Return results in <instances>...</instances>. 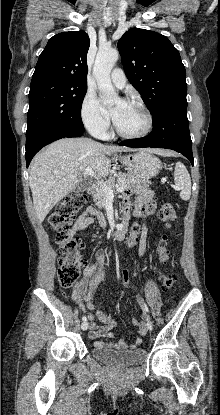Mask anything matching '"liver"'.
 I'll list each match as a JSON object with an SVG mask.
<instances>
[{"mask_svg":"<svg viewBox=\"0 0 220 415\" xmlns=\"http://www.w3.org/2000/svg\"><path fill=\"white\" fill-rule=\"evenodd\" d=\"M132 151L128 147L108 146L88 138H64L38 153L30 165L29 185L38 221L82 181L80 172L91 167L99 176L110 173L108 156ZM162 155L171 152L155 150Z\"/></svg>","mask_w":220,"mask_h":415,"instance_id":"obj_1","label":"liver"}]
</instances>
